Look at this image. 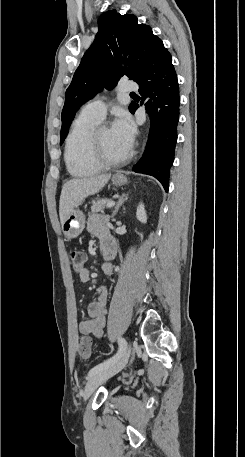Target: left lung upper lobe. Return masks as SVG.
<instances>
[{
  "label": "left lung upper lobe",
  "instance_id": "1",
  "mask_svg": "<svg viewBox=\"0 0 245 457\" xmlns=\"http://www.w3.org/2000/svg\"><path fill=\"white\" fill-rule=\"evenodd\" d=\"M162 44L149 25L138 24L135 15H121L115 10L103 13L95 41L84 54L65 93L60 144L68 134L75 112L85 102L103 87L114 88L123 76L136 81L149 55ZM122 62L131 68H122Z\"/></svg>",
  "mask_w": 245,
  "mask_h": 457
}]
</instances>
